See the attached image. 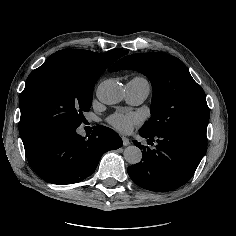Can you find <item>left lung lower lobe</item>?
<instances>
[{"label": "left lung lower lobe", "mask_w": 236, "mask_h": 236, "mask_svg": "<svg viewBox=\"0 0 236 236\" xmlns=\"http://www.w3.org/2000/svg\"><path fill=\"white\" fill-rule=\"evenodd\" d=\"M155 147L134 144L141 148L142 159L128 167L131 179L140 187L156 192L174 190L188 182L207 149L206 138L192 134L162 131L155 136L140 133Z\"/></svg>", "instance_id": "left-lung-lower-lobe-1"}]
</instances>
